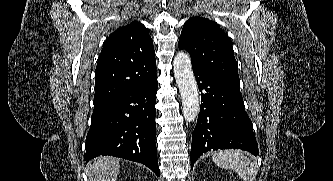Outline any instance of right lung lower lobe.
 I'll return each mask as SVG.
<instances>
[{
	"mask_svg": "<svg viewBox=\"0 0 333 181\" xmlns=\"http://www.w3.org/2000/svg\"><path fill=\"white\" fill-rule=\"evenodd\" d=\"M157 79L94 107L84 160L112 155L140 162L159 175L155 144Z\"/></svg>",
	"mask_w": 333,
	"mask_h": 181,
	"instance_id": "1",
	"label": "right lung lower lobe"
}]
</instances>
